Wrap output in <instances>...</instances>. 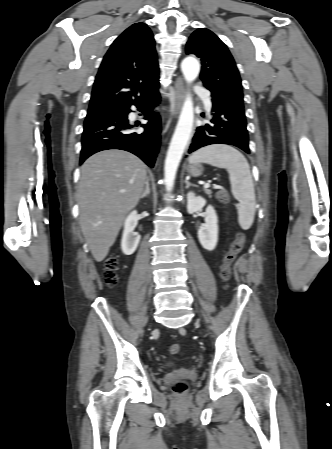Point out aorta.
Masks as SVG:
<instances>
[{
    "instance_id": "762f6f07",
    "label": "aorta",
    "mask_w": 332,
    "mask_h": 449,
    "mask_svg": "<svg viewBox=\"0 0 332 449\" xmlns=\"http://www.w3.org/2000/svg\"><path fill=\"white\" fill-rule=\"evenodd\" d=\"M181 70L187 83H192L199 74L200 64L194 57H187L181 63ZM193 123V101L191 95L187 94L165 159L164 177L168 192L173 189L176 172L190 139Z\"/></svg>"
}]
</instances>
